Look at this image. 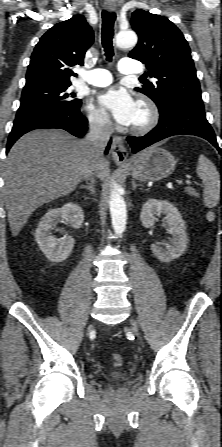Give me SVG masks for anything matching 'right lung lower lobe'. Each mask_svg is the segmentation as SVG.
Wrapping results in <instances>:
<instances>
[{
	"mask_svg": "<svg viewBox=\"0 0 222 447\" xmlns=\"http://www.w3.org/2000/svg\"><path fill=\"white\" fill-rule=\"evenodd\" d=\"M87 119H85L79 108H65L42 116L14 122L7 142V152L15 141L23 134L40 128H60L70 132L72 135L82 137L87 130ZM108 144L105 153L108 152Z\"/></svg>",
	"mask_w": 222,
	"mask_h": 447,
	"instance_id": "obj_1",
	"label": "right lung lower lobe"
}]
</instances>
